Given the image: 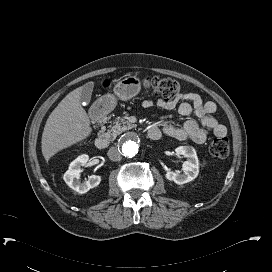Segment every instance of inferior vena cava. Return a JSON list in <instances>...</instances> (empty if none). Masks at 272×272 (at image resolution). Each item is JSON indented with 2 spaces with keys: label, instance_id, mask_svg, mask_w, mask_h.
Segmentation results:
<instances>
[{
  "label": "inferior vena cava",
  "instance_id": "602c4592",
  "mask_svg": "<svg viewBox=\"0 0 272 272\" xmlns=\"http://www.w3.org/2000/svg\"><path fill=\"white\" fill-rule=\"evenodd\" d=\"M108 157L112 161H120L122 159L121 152L116 147H111L107 153Z\"/></svg>",
  "mask_w": 272,
  "mask_h": 272
}]
</instances>
